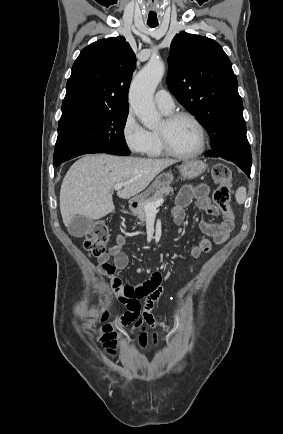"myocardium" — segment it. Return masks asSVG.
I'll return each instance as SVG.
<instances>
[{"label": "myocardium", "instance_id": "obj_1", "mask_svg": "<svg viewBox=\"0 0 283 434\" xmlns=\"http://www.w3.org/2000/svg\"><path fill=\"white\" fill-rule=\"evenodd\" d=\"M182 118L189 119L197 128L198 135H199V145H198L197 149L191 153L177 152L171 146L166 130H158L157 133H158V136L160 139L162 149L165 152V154L172 156V157H175V158H178V159L196 158L204 152L205 147H206V131H205V128H204L203 124L201 123V121L194 114H192L188 111H176V112L169 113L165 117L164 123L166 126H170L175 121L182 119Z\"/></svg>", "mask_w": 283, "mask_h": 434}]
</instances>
